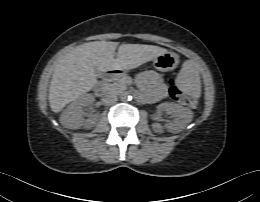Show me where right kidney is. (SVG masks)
Wrapping results in <instances>:
<instances>
[{"label":"right kidney","instance_id":"1","mask_svg":"<svg viewBox=\"0 0 260 202\" xmlns=\"http://www.w3.org/2000/svg\"><path fill=\"white\" fill-rule=\"evenodd\" d=\"M93 102L94 97L91 94H86L76 99L61 114V124L68 129H79L82 126L87 129L92 128L97 123L98 115L91 114L88 119H85L86 113L82 109Z\"/></svg>","mask_w":260,"mask_h":202}]
</instances>
